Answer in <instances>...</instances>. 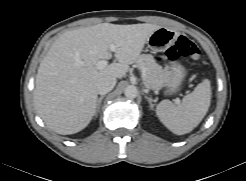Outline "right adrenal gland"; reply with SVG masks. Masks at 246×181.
<instances>
[{"instance_id":"1","label":"right adrenal gland","mask_w":246,"mask_h":181,"mask_svg":"<svg viewBox=\"0 0 246 181\" xmlns=\"http://www.w3.org/2000/svg\"><path fill=\"white\" fill-rule=\"evenodd\" d=\"M104 97H105V95H102V96L99 97L98 100H97L96 116H97V113L100 111L101 102H102V100H103Z\"/></svg>"}]
</instances>
